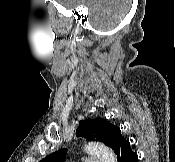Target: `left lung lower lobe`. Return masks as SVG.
<instances>
[{"instance_id":"left-lung-lower-lobe-1","label":"left lung lower lobe","mask_w":175,"mask_h":162,"mask_svg":"<svg viewBox=\"0 0 175 162\" xmlns=\"http://www.w3.org/2000/svg\"><path fill=\"white\" fill-rule=\"evenodd\" d=\"M117 162H138V156L130 147V143L123 136L117 141L114 148Z\"/></svg>"}]
</instances>
